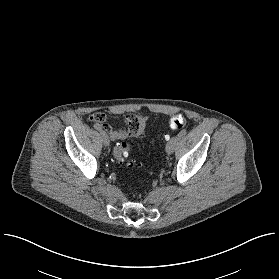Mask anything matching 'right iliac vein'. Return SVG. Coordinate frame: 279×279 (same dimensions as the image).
<instances>
[{"label": "right iliac vein", "mask_w": 279, "mask_h": 279, "mask_svg": "<svg viewBox=\"0 0 279 279\" xmlns=\"http://www.w3.org/2000/svg\"><path fill=\"white\" fill-rule=\"evenodd\" d=\"M101 136H102V142L105 146H108L109 145V137L108 135L105 133V132H102L101 133Z\"/></svg>", "instance_id": "1"}]
</instances>
